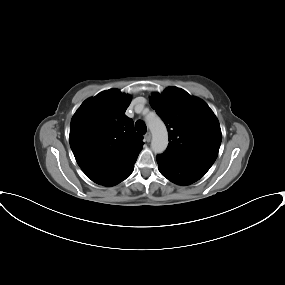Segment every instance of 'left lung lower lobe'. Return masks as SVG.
Returning <instances> with one entry per match:
<instances>
[{
    "instance_id": "left-lung-lower-lobe-1",
    "label": "left lung lower lobe",
    "mask_w": 285,
    "mask_h": 285,
    "mask_svg": "<svg viewBox=\"0 0 285 285\" xmlns=\"http://www.w3.org/2000/svg\"><path fill=\"white\" fill-rule=\"evenodd\" d=\"M160 173L168 180L179 185H188L199 180L208 168L172 158L166 154L157 156Z\"/></svg>"
}]
</instances>
